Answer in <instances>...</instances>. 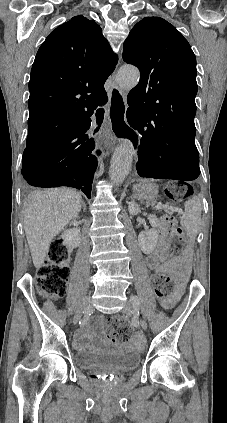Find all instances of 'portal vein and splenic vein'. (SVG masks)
Returning a JSON list of instances; mask_svg holds the SVG:
<instances>
[{"mask_svg":"<svg viewBox=\"0 0 227 423\" xmlns=\"http://www.w3.org/2000/svg\"><path fill=\"white\" fill-rule=\"evenodd\" d=\"M155 208H158V210H170L171 213H179L182 214L183 210L181 208H178L177 205H163L162 201H159L157 206H155Z\"/></svg>","mask_w":227,"mask_h":423,"instance_id":"obj_1","label":"portal vein and splenic vein"}]
</instances>
